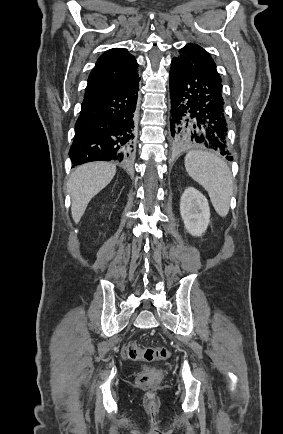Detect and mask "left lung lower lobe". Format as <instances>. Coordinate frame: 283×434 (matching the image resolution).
<instances>
[{
	"mask_svg": "<svg viewBox=\"0 0 283 434\" xmlns=\"http://www.w3.org/2000/svg\"><path fill=\"white\" fill-rule=\"evenodd\" d=\"M170 130L176 147H203L227 156L222 81L176 58L170 70Z\"/></svg>",
	"mask_w": 283,
	"mask_h": 434,
	"instance_id": "0a47b994",
	"label": "left lung lower lobe"
}]
</instances>
